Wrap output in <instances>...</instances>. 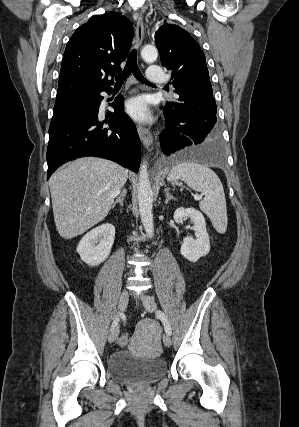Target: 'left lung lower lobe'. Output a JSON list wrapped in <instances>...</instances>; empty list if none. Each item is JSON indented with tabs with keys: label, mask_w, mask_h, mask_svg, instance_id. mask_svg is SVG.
Instances as JSON below:
<instances>
[{
	"label": "left lung lower lobe",
	"mask_w": 299,
	"mask_h": 427,
	"mask_svg": "<svg viewBox=\"0 0 299 427\" xmlns=\"http://www.w3.org/2000/svg\"><path fill=\"white\" fill-rule=\"evenodd\" d=\"M166 130L160 135V146L167 156L223 164L221 133L216 114L203 102H185L179 98L173 106L164 107Z\"/></svg>",
	"instance_id": "0a47b994"
}]
</instances>
